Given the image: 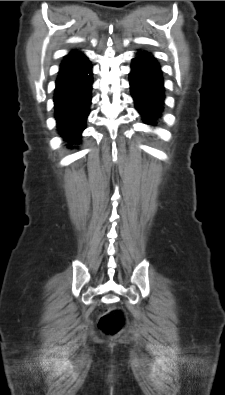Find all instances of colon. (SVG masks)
<instances>
[{
  "label": "colon",
  "mask_w": 225,
  "mask_h": 395,
  "mask_svg": "<svg viewBox=\"0 0 225 395\" xmlns=\"http://www.w3.org/2000/svg\"><path fill=\"white\" fill-rule=\"evenodd\" d=\"M127 316L120 307H112L99 311L98 327L107 336H115L126 326Z\"/></svg>",
  "instance_id": "obj_1"
}]
</instances>
